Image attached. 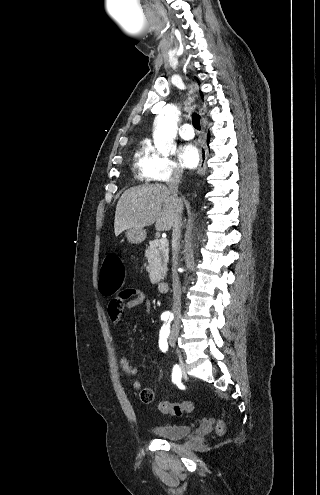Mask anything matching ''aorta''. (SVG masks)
<instances>
[{"label": "aorta", "mask_w": 320, "mask_h": 495, "mask_svg": "<svg viewBox=\"0 0 320 495\" xmlns=\"http://www.w3.org/2000/svg\"><path fill=\"white\" fill-rule=\"evenodd\" d=\"M179 116V109L173 104H168L154 120V145L163 155L169 154L174 147Z\"/></svg>", "instance_id": "1"}]
</instances>
